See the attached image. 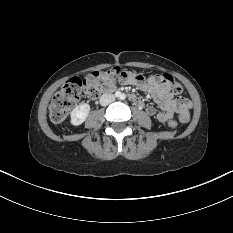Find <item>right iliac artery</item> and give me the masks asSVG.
Masks as SVG:
<instances>
[{"mask_svg": "<svg viewBox=\"0 0 233 233\" xmlns=\"http://www.w3.org/2000/svg\"><path fill=\"white\" fill-rule=\"evenodd\" d=\"M115 95L118 97V96H120V93H119V92H116Z\"/></svg>", "mask_w": 233, "mask_h": 233, "instance_id": "1", "label": "right iliac artery"}]
</instances>
